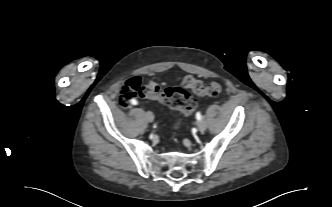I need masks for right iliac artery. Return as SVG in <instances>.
Listing matches in <instances>:
<instances>
[{
  "label": "right iliac artery",
  "mask_w": 332,
  "mask_h": 207,
  "mask_svg": "<svg viewBox=\"0 0 332 207\" xmlns=\"http://www.w3.org/2000/svg\"><path fill=\"white\" fill-rule=\"evenodd\" d=\"M131 104H133V105H137L138 102H137L135 99H132Z\"/></svg>",
  "instance_id": "82829eb1"
}]
</instances>
